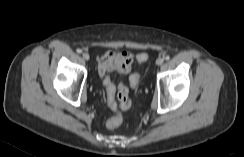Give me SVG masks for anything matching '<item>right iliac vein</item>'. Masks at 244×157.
<instances>
[{
  "label": "right iliac vein",
  "instance_id": "right-iliac-vein-1",
  "mask_svg": "<svg viewBox=\"0 0 244 157\" xmlns=\"http://www.w3.org/2000/svg\"><path fill=\"white\" fill-rule=\"evenodd\" d=\"M83 58H84L85 60H89V59H90V56H89L88 53H83Z\"/></svg>",
  "mask_w": 244,
  "mask_h": 157
}]
</instances>
